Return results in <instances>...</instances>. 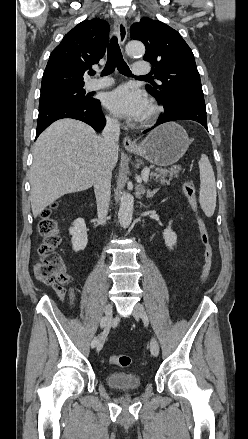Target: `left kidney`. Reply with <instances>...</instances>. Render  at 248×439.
I'll use <instances>...</instances> for the list:
<instances>
[{"mask_svg": "<svg viewBox=\"0 0 248 439\" xmlns=\"http://www.w3.org/2000/svg\"><path fill=\"white\" fill-rule=\"evenodd\" d=\"M171 223L172 221L169 222V226L167 229L164 230L163 232V238L165 240V245L172 250L173 247L176 245L177 242V235L175 232H173V230L171 229Z\"/></svg>", "mask_w": 248, "mask_h": 439, "instance_id": "5707ae66", "label": "left kidney"}]
</instances>
